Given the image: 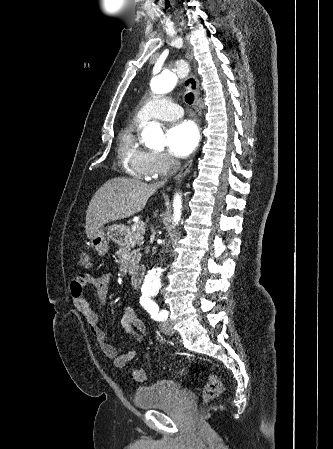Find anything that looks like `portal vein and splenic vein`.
<instances>
[{"label": "portal vein and splenic vein", "mask_w": 333, "mask_h": 449, "mask_svg": "<svg viewBox=\"0 0 333 449\" xmlns=\"http://www.w3.org/2000/svg\"><path fill=\"white\" fill-rule=\"evenodd\" d=\"M144 228H145V224L143 223V222H139V223H135L133 226H132V230L133 231H140V230H144Z\"/></svg>", "instance_id": "portal-vein-and-splenic-vein-1"}]
</instances>
